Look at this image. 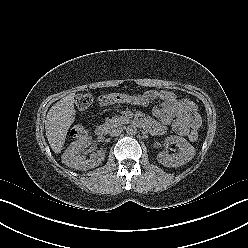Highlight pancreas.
Segmentation results:
<instances>
[{
    "label": "pancreas",
    "mask_w": 248,
    "mask_h": 248,
    "mask_svg": "<svg viewBox=\"0 0 248 248\" xmlns=\"http://www.w3.org/2000/svg\"><path fill=\"white\" fill-rule=\"evenodd\" d=\"M130 120L127 116H115L113 117L112 119H108L106 120L105 122V125L109 128H112L114 126H119V125H122V124H126L128 123Z\"/></svg>",
    "instance_id": "1"
}]
</instances>
